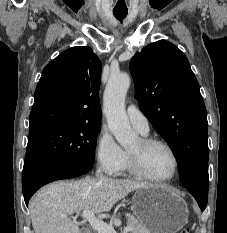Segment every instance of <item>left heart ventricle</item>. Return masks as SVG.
<instances>
[{"label":"left heart ventricle","instance_id":"b2bd125f","mask_svg":"<svg viewBox=\"0 0 227 233\" xmlns=\"http://www.w3.org/2000/svg\"><path fill=\"white\" fill-rule=\"evenodd\" d=\"M129 150L140 152V141L135 142ZM141 158L145 170L155 177H167L174 169L172 155L163 146L155 145L141 151Z\"/></svg>","mask_w":227,"mask_h":233}]
</instances>
